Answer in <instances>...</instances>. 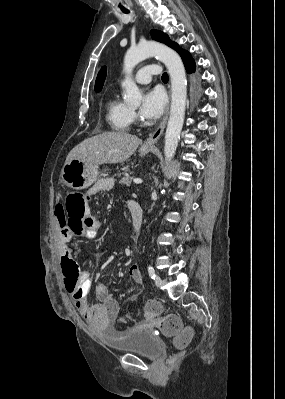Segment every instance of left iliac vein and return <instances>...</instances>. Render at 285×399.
<instances>
[{"label": "left iliac vein", "mask_w": 285, "mask_h": 399, "mask_svg": "<svg viewBox=\"0 0 285 399\" xmlns=\"http://www.w3.org/2000/svg\"><path fill=\"white\" fill-rule=\"evenodd\" d=\"M155 284H156L157 287H160L161 284H162V280H161V277L159 275H156V277H155Z\"/></svg>", "instance_id": "obj_1"}]
</instances>
